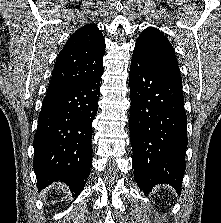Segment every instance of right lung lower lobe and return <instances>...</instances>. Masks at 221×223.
<instances>
[{
	"label": "right lung lower lobe",
	"instance_id": "98d812e1",
	"mask_svg": "<svg viewBox=\"0 0 221 223\" xmlns=\"http://www.w3.org/2000/svg\"><path fill=\"white\" fill-rule=\"evenodd\" d=\"M102 74L44 98L34 136L38 189L60 180L77 197L85 186L92 165L91 121L98 109Z\"/></svg>",
	"mask_w": 221,
	"mask_h": 223
}]
</instances>
